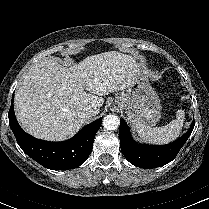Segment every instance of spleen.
I'll return each instance as SVG.
<instances>
[{
  "label": "spleen",
  "instance_id": "spleen-1",
  "mask_svg": "<svg viewBox=\"0 0 209 209\" xmlns=\"http://www.w3.org/2000/svg\"><path fill=\"white\" fill-rule=\"evenodd\" d=\"M185 119L184 110L180 109L176 113V119L162 127H150L139 121H134V125L139 137L152 144H167L174 141L181 133Z\"/></svg>",
  "mask_w": 209,
  "mask_h": 209
}]
</instances>
